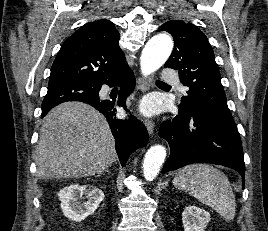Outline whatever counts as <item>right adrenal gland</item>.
Segmentation results:
<instances>
[{
    "mask_svg": "<svg viewBox=\"0 0 268 231\" xmlns=\"http://www.w3.org/2000/svg\"><path fill=\"white\" fill-rule=\"evenodd\" d=\"M104 172H107V174H110V170H109V168H106L104 171H103V173Z\"/></svg>",
    "mask_w": 268,
    "mask_h": 231,
    "instance_id": "2a0ac1e0",
    "label": "right adrenal gland"
}]
</instances>
